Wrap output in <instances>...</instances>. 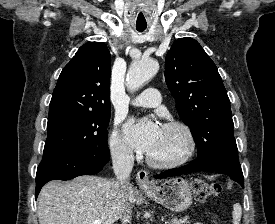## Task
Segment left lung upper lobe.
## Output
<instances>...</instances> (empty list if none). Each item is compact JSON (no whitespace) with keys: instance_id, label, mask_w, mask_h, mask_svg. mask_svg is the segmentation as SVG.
Instances as JSON below:
<instances>
[{"instance_id":"5c2ea615","label":"left lung upper lobe","mask_w":275,"mask_h":224,"mask_svg":"<svg viewBox=\"0 0 275 224\" xmlns=\"http://www.w3.org/2000/svg\"><path fill=\"white\" fill-rule=\"evenodd\" d=\"M165 80L197 144L196 161L240 165L230 100L214 62L192 38L177 39L166 55Z\"/></svg>"}]
</instances>
